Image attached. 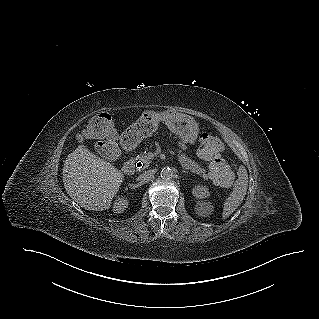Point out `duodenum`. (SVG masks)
<instances>
[{"label":"duodenum","instance_id":"duodenum-1","mask_svg":"<svg viewBox=\"0 0 319 319\" xmlns=\"http://www.w3.org/2000/svg\"><path fill=\"white\" fill-rule=\"evenodd\" d=\"M122 145L127 150H132L135 146V139L132 136H125L122 139ZM136 170V164L133 161H127L122 166V172L125 175H132Z\"/></svg>","mask_w":319,"mask_h":319}]
</instances>
